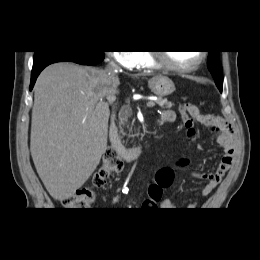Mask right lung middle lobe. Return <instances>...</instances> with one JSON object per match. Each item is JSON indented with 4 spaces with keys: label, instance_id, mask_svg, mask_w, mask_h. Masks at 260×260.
I'll return each instance as SVG.
<instances>
[{
    "label": "right lung middle lobe",
    "instance_id": "dd1d6c3e",
    "mask_svg": "<svg viewBox=\"0 0 260 260\" xmlns=\"http://www.w3.org/2000/svg\"><path fill=\"white\" fill-rule=\"evenodd\" d=\"M43 54V52H38V51H35V54H34V59L40 57L41 55Z\"/></svg>",
    "mask_w": 260,
    "mask_h": 260
}]
</instances>
